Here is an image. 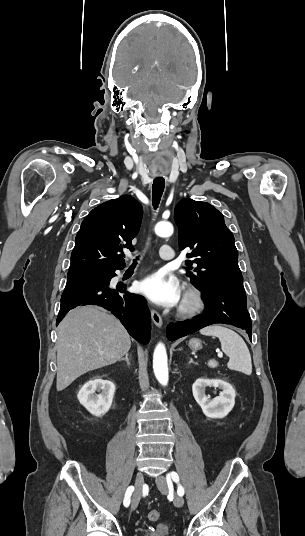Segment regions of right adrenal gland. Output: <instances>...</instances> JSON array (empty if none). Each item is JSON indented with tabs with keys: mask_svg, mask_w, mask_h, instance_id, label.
<instances>
[{
	"mask_svg": "<svg viewBox=\"0 0 305 536\" xmlns=\"http://www.w3.org/2000/svg\"><path fill=\"white\" fill-rule=\"evenodd\" d=\"M129 354H126L125 358H122V360H125V362H127V366H130V362H129V358H128ZM119 362H121V360H119Z\"/></svg>",
	"mask_w": 305,
	"mask_h": 536,
	"instance_id": "obj_1",
	"label": "right adrenal gland"
}]
</instances>
